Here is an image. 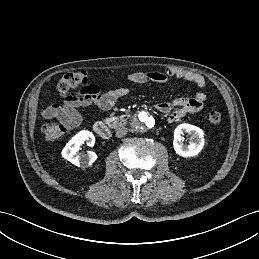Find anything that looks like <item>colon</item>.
<instances>
[{"label": "colon", "instance_id": "colon-1", "mask_svg": "<svg viewBox=\"0 0 259 259\" xmlns=\"http://www.w3.org/2000/svg\"><path fill=\"white\" fill-rule=\"evenodd\" d=\"M88 84L86 72H70L66 73L58 82L56 90L58 94L67 98L71 96L73 91L79 87L83 88ZM221 121V114L218 111H211L208 114V122L211 125H217ZM66 126L58 122H49L43 125L42 133L47 141H55L64 135Z\"/></svg>", "mask_w": 259, "mask_h": 259}]
</instances>
